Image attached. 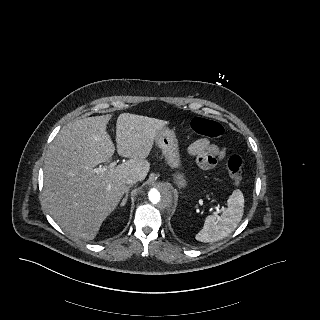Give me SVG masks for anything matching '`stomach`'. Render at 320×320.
Returning a JSON list of instances; mask_svg holds the SVG:
<instances>
[{
	"label": "stomach",
	"instance_id": "obj_1",
	"mask_svg": "<svg viewBox=\"0 0 320 320\" xmlns=\"http://www.w3.org/2000/svg\"><path fill=\"white\" fill-rule=\"evenodd\" d=\"M155 142L161 149L167 164L172 169H177L173 176L176 184L180 188H185L187 186V181L184 174L180 171L181 160L179 155V145L174 131L168 127H162L155 136Z\"/></svg>",
	"mask_w": 320,
	"mask_h": 320
}]
</instances>
